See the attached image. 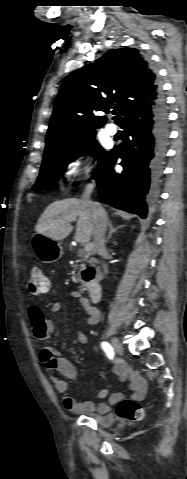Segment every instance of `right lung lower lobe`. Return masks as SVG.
<instances>
[{"mask_svg":"<svg viewBox=\"0 0 187 479\" xmlns=\"http://www.w3.org/2000/svg\"><path fill=\"white\" fill-rule=\"evenodd\" d=\"M167 105L162 94L150 106L138 107L119 124L125 141L108 152L92 176L100 197L109 205L146 218L148 205L158 194L169 136ZM121 158L122 173L113 167Z\"/></svg>","mask_w":187,"mask_h":479,"instance_id":"1","label":"right lung lower lobe"}]
</instances>
